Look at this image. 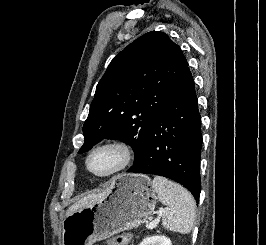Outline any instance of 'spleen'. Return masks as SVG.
<instances>
[{"mask_svg":"<svg viewBox=\"0 0 266 245\" xmlns=\"http://www.w3.org/2000/svg\"><path fill=\"white\" fill-rule=\"evenodd\" d=\"M153 185L160 203L166 205L163 227L181 235L191 233L196 215V203L191 193L165 177H154Z\"/></svg>","mask_w":266,"mask_h":245,"instance_id":"obj_1","label":"spleen"}]
</instances>
